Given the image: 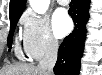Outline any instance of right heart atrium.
<instances>
[{
    "mask_svg": "<svg viewBox=\"0 0 102 75\" xmlns=\"http://www.w3.org/2000/svg\"><path fill=\"white\" fill-rule=\"evenodd\" d=\"M23 48L32 60H39L58 48V42L53 37L49 21L31 11L24 13L20 20Z\"/></svg>",
    "mask_w": 102,
    "mask_h": 75,
    "instance_id": "obj_1",
    "label": "right heart atrium"
}]
</instances>
